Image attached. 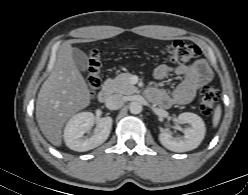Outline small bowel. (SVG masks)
Wrapping results in <instances>:
<instances>
[{"label": "small bowel", "mask_w": 248, "mask_h": 195, "mask_svg": "<svg viewBox=\"0 0 248 195\" xmlns=\"http://www.w3.org/2000/svg\"><path fill=\"white\" fill-rule=\"evenodd\" d=\"M172 72L178 75L181 81L171 93L155 87L149 88L147 91L150 99L164 108L188 104L195 97L197 90L212 78L211 70L201 60L189 65H178L174 68L161 64L155 68L154 77L161 81Z\"/></svg>", "instance_id": "small-bowel-1"}]
</instances>
